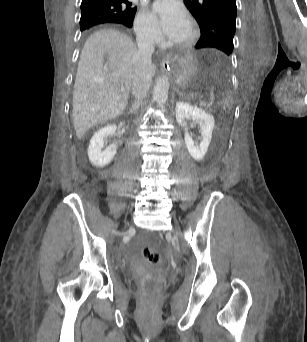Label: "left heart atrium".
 Here are the masks:
<instances>
[{"label": "left heart atrium", "mask_w": 307, "mask_h": 342, "mask_svg": "<svg viewBox=\"0 0 307 342\" xmlns=\"http://www.w3.org/2000/svg\"><path fill=\"white\" fill-rule=\"evenodd\" d=\"M153 28L152 40L157 43L183 42L189 34V21L173 3H156L147 14Z\"/></svg>", "instance_id": "39dd6f15"}]
</instances>
